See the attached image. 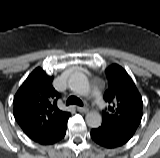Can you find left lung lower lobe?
<instances>
[{"instance_id":"left-lung-lower-lobe-1","label":"left lung lower lobe","mask_w":160,"mask_h":158,"mask_svg":"<svg viewBox=\"0 0 160 158\" xmlns=\"http://www.w3.org/2000/svg\"><path fill=\"white\" fill-rule=\"evenodd\" d=\"M91 137L103 147L114 148L125 144L132 136L102 123L98 128L92 129Z\"/></svg>"}]
</instances>
